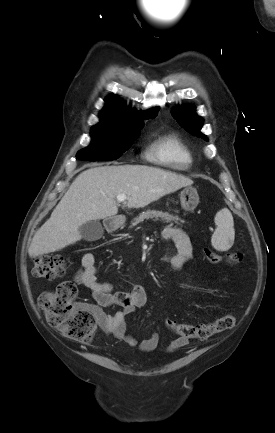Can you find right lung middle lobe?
<instances>
[{
  "label": "right lung middle lobe",
  "mask_w": 275,
  "mask_h": 433,
  "mask_svg": "<svg viewBox=\"0 0 275 433\" xmlns=\"http://www.w3.org/2000/svg\"><path fill=\"white\" fill-rule=\"evenodd\" d=\"M144 123L98 124L92 127V142L80 150L76 158L87 161H110L120 157L139 136Z\"/></svg>",
  "instance_id": "1"
}]
</instances>
